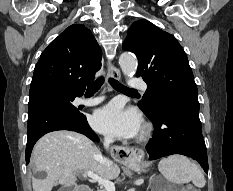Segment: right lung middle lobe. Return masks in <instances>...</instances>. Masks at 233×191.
I'll return each mask as SVG.
<instances>
[{
	"label": "right lung middle lobe",
	"mask_w": 233,
	"mask_h": 191,
	"mask_svg": "<svg viewBox=\"0 0 233 191\" xmlns=\"http://www.w3.org/2000/svg\"><path fill=\"white\" fill-rule=\"evenodd\" d=\"M75 96L56 92L43 91L29 99V111L39 105H53L72 112H79L76 107L72 105Z\"/></svg>",
	"instance_id": "right-lung-middle-lobe-1"
}]
</instances>
